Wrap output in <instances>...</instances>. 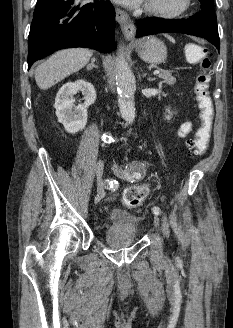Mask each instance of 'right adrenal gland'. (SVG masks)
<instances>
[{"mask_svg":"<svg viewBox=\"0 0 233 328\" xmlns=\"http://www.w3.org/2000/svg\"><path fill=\"white\" fill-rule=\"evenodd\" d=\"M95 61H96V58L92 57L91 63L89 65H87L86 69L91 70L92 68H98V66L95 65Z\"/></svg>","mask_w":233,"mask_h":328,"instance_id":"right-adrenal-gland-1","label":"right adrenal gland"}]
</instances>
